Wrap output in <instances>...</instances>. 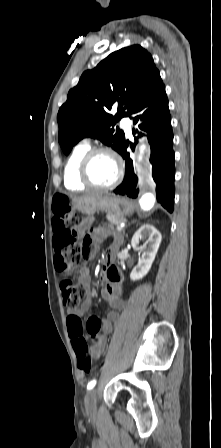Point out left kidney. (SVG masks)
I'll return each instance as SVG.
<instances>
[{"label": "left kidney", "mask_w": 221, "mask_h": 448, "mask_svg": "<svg viewBox=\"0 0 221 448\" xmlns=\"http://www.w3.org/2000/svg\"><path fill=\"white\" fill-rule=\"evenodd\" d=\"M146 237L147 246L144 247L145 250L138 264L130 274V279L133 281L142 279L149 272L162 240L160 232L153 225L144 224L133 235L131 240L132 247L137 249L139 241Z\"/></svg>", "instance_id": "5707ae66"}]
</instances>
